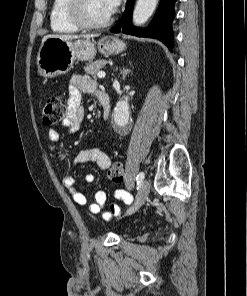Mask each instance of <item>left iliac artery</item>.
Instances as JSON below:
<instances>
[{"mask_svg":"<svg viewBox=\"0 0 247 296\" xmlns=\"http://www.w3.org/2000/svg\"><path fill=\"white\" fill-rule=\"evenodd\" d=\"M144 177H145L144 173H143V172H140V173L137 175V177H136V181H137V183H138V184L141 183V182L144 180Z\"/></svg>","mask_w":247,"mask_h":296,"instance_id":"1","label":"left iliac artery"}]
</instances>
